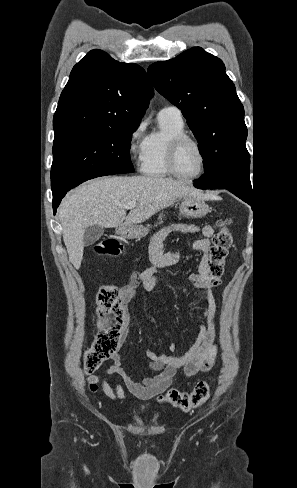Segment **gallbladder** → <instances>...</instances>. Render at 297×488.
<instances>
[{
    "label": "gallbladder",
    "mask_w": 297,
    "mask_h": 488,
    "mask_svg": "<svg viewBox=\"0 0 297 488\" xmlns=\"http://www.w3.org/2000/svg\"><path fill=\"white\" fill-rule=\"evenodd\" d=\"M104 233V228L99 225L89 226L83 236L84 245H93L96 243Z\"/></svg>",
    "instance_id": "1"
}]
</instances>
